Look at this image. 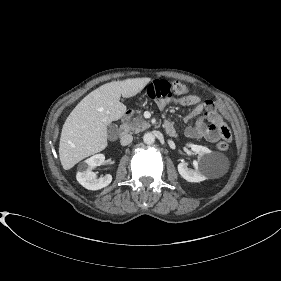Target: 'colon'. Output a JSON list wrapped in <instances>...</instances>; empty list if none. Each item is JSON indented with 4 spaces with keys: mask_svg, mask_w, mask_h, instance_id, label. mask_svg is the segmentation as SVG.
<instances>
[{
    "mask_svg": "<svg viewBox=\"0 0 281 281\" xmlns=\"http://www.w3.org/2000/svg\"><path fill=\"white\" fill-rule=\"evenodd\" d=\"M186 86L179 81H166L157 80L154 81L148 88V94L151 98L160 99L167 98L173 99L176 96L186 93ZM224 138L221 140L217 147L220 150H226L229 147V141L231 140V134L229 130H224Z\"/></svg>",
    "mask_w": 281,
    "mask_h": 281,
    "instance_id": "colon-1",
    "label": "colon"
}]
</instances>
